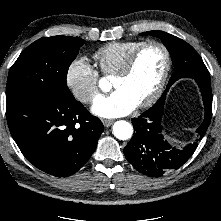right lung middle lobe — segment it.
Wrapping results in <instances>:
<instances>
[{
  "mask_svg": "<svg viewBox=\"0 0 221 221\" xmlns=\"http://www.w3.org/2000/svg\"><path fill=\"white\" fill-rule=\"evenodd\" d=\"M84 44V40L68 36L44 37L32 43L9 71L6 99L23 95L45 99L59 92L70 96L67 71Z\"/></svg>",
  "mask_w": 221,
  "mask_h": 221,
  "instance_id": "dd1d6c3e",
  "label": "right lung middle lobe"
}]
</instances>
